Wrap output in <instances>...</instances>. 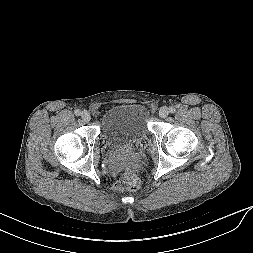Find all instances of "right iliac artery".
I'll return each instance as SVG.
<instances>
[{"label":"right iliac artery","instance_id":"right-iliac-artery-1","mask_svg":"<svg viewBox=\"0 0 253 253\" xmlns=\"http://www.w3.org/2000/svg\"><path fill=\"white\" fill-rule=\"evenodd\" d=\"M74 113H75L76 116H80L81 115V111L79 109L75 110Z\"/></svg>","mask_w":253,"mask_h":253}]
</instances>
